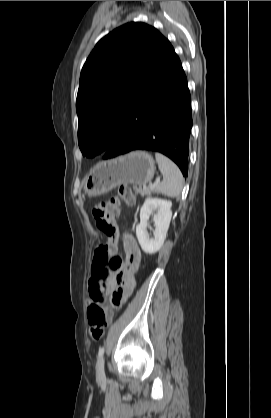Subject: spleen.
Returning a JSON list of instances; mask_svg holds the SVG:
<instances>
[{
	"label": "spleen",
	"instance_id": "3e777b00",
	"mask_svg": "<svg viewBox=\"0 0 271 418\" xmlns=\"http://www.w3.org/2000/svg\"><path fill=\"white\" fill-rule=\"evenodd\" d=\"M155 157L163 175V181L157 185V191L172 198H179L184 184L180 169L174 162L160 153H156Z\"/></svg>",
	"mask_w": 271,
	"mask_h": 418
}]
</instances>
